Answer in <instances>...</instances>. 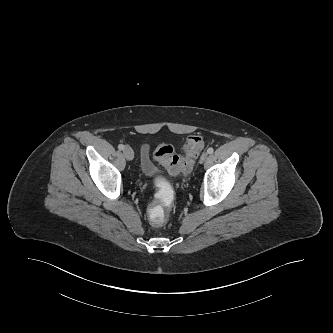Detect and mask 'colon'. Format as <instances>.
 <instances>
[{"instance_id": "1", "label": "colon", "mask_w": 333, "mask_h": 333, "mask_svg": "<svg viewBox=\"0 0 333 333\" xmlns=\"http://www.w3.org/2000/svg\"><path fill=\"white\" fill-rule=\"evenodd\" d=\"M203 140L198 135L188 137L183 146V154H176L174 147L170 144L162 143L157 146L153 157L171 174L188 173L192 170L194 161L203 148ZM153 185L159 189L153 195V204L147 209L146 215L150 224L160 228L167 224L169 216L166 209L173 206L175 201V191L169 184V178L165 174H157L153 178Z\"/></svg>"}]
</instances>
